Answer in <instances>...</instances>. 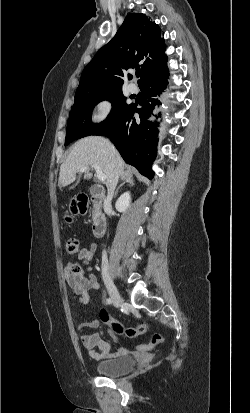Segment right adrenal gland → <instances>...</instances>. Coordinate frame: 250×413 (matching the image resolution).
<instances>
[{"label":"right adrenal gland","mask_w":250,"mask_h":413,"mask_svg":"<svg viewBox=\"0 0 250 413\" xmlns=\"http://www.w3.org/2000/svg\"><path fill=\"white\" fill-rule=\"evenodd\" d=\"M126 183H127L129 186H134V185H135L134 180H133V177H132L131 174H125V175L122 177V183H121V184L118 186V188L116 189L115 194H114V197L117 196L119 189H120L122 186H124Z\"/></svg>","instance_id":"right-adrenal-gland-1"}]
</instances>
